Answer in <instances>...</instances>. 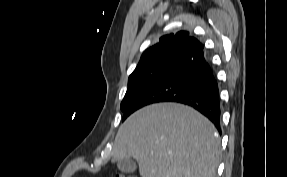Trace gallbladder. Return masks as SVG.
<instances>
[{"instance_id":"gallbladder-1","label":"gallbladder","mask_w":287,"mask_h":177,"mask_svg":"<svg viewBox=\"0 0 287 177\" xmlns=\"http://www.w3.org/2000/svg\"><path fill=\"white\" fill-rule=\"evenodd\" d=\"M117 167L123 173L131 174L136 171V163L132 158L118 160Z\"/></svg>"}]
</instances>
